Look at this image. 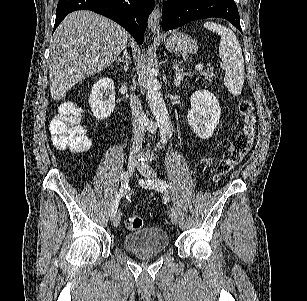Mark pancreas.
Wrapping results in <instances>:
<instances>
[{"label":"pancreas","instance_id":"pancreas-1","mask_svg":"<svg viewBox=\"0 0 307 301\" xmlns=\"http://www.w3.org/2000/svg\"><path fill=\"white\" fill-rule=\"evenodd\" d=\"M197 74V78H203V80H206V82H213L212 76H214V72L212 68H208V70H200V72H197Z\"/></svg>","mask_w":307,"mask_h":301}]
</instances>
